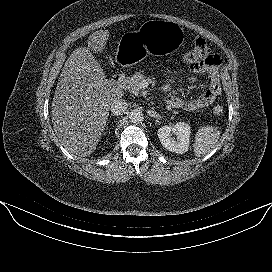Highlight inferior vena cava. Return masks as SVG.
<instances>
[{"mask_svg":"<svg viewBox=\"0 0 272 272\" xmlns=\"http://www.w3.org/2000/svg\"><path fill=\"white\" fill-rule=\"evenodd\" d=\"M127 102L122 99H116L110 107L111 113L113 115H121L123 114L127 109Z\"/></svg>","mask_w":272,"mask_h":272,"instance_id":"1","label":"inferior vena cava"}]
</instances>
